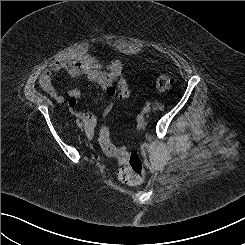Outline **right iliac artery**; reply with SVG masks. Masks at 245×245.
<instances>
[{"instance_id":"obj_1","label":"right iliac artery","mask_w":245,"mask_h":245,"mask_svg":"<svg viewBox=\"0 0 245 245\" xmlns=\"http://www.w3.org/2000/svg\"><path fill=\"white\" fill-rule=\"evenodd\" d=\"M76 123L78 126L81 124V122L78 119L76 120Z\"/></svg>"}]
</instances>
